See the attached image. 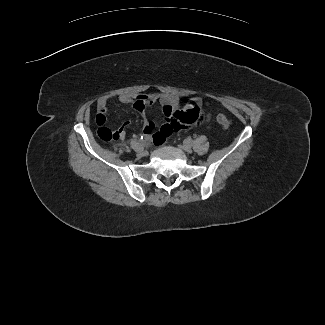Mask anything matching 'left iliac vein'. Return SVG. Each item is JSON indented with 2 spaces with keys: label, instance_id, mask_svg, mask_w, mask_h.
<instances>
[{
  "label": "left iliac vein",
  "instance_id": "4c4485c4",
  "mask_svg": "<svg viewBox=\"0 0 325 325\" xmlns=\"http://www.w3.org/2000/svg\"><path fill=\"white\" fill-rule=\"evenodd\" d=\"M179 148L184 150L187 153H191L192 152V148L189 144H183V145H179Z\"/></svg>",
  "mask_w": 325,
  "mask_h": 325
}]
</instances>
